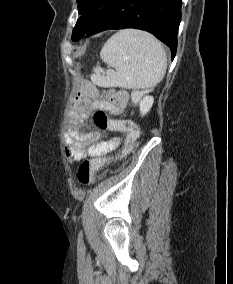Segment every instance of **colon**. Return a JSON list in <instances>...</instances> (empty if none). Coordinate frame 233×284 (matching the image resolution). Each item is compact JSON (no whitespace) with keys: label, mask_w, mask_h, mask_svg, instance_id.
Returning a JSON list of instances; mask_svg holds the SVG:
<instances>
[{"label":"colon","mask_w":233,"mask_h":284,"mask_svg":"<svg viewBox=\"0 0 233 284\" xmlns=\"http://www.w3.org/2000/svg\"><path fill=\"white\" fill-rule=\"evenodd\" d=\"M147 92V89L135 90L132 93V103H137ZM94 123L100 130L124 131L126 138L120 156H126L135 147L139 139V129L135 124H127L120 120L110 119L104 110H97L94 114ZM107 159L98 157L83 161L78 168V180L82 185H91L95 182L96 172L106 163Z\"/></svg>","instance_id":"obj_1"}]
</instances>
